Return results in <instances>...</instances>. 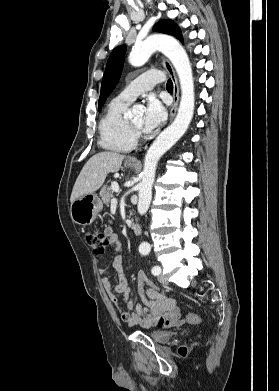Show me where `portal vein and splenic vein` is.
Wrapping results in <instances>:
<instances>
[{"instance_id":"1","label":"portal vein and splenic vein","mask_w":279,"mask_h":391,"mask_svg":"<svg viewBox=\"0 0 279 391\" xmlns=\"http://www.w3.org/2000/svg\"><path fill=\"white\" fill-rule=\"evenodd\" d=\"M112 187H113V190L115 192H117V193L119 192V186H118V184L116 182L112 183ZM111 203L112 204L117 203V199L116 198H112Z\"/></svg>"}]
</instances>
